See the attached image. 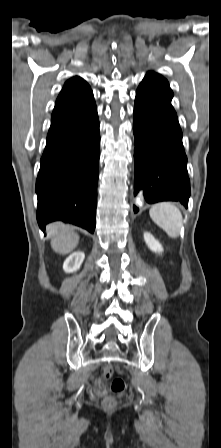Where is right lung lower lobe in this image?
Returning a JSON list of instances; mask_svg holds the SVG:
<instances>
[{"instance_id": "1", "label": "right lung lower lobe", "mask_w": 221, "mask_h": 448, "mask_svg": "<svg viewBox=\"0 0 221 448\" xmlns=\"http://www.w3.org/2000/svg\"><path fill=\"white\" fill-rule=\"evenodd\" d=\"M99 120L93 93L52 114L36 180L37 221L62 220L95 230Z\"/></svg>"}]
</instances>
